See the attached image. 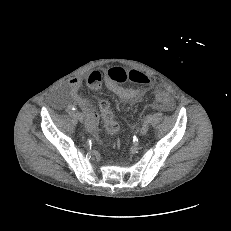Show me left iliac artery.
<instances>
[{
    "label": "left iliac artery",
    "mask_w": 231,
    "mask_h": 231,
    "mask_svg": "<svg viewBox=\"0 0 231 231\" xmlns=\"http://www.w3.org/2000/svg\"><path fill=\"white\" fill-rule=\"evenodd\" d=\"M151 120H152V116H151V115H148V116H147V122L150 123Z\"/></svg>",
    "instance_id": "1"
}]
</instances>
